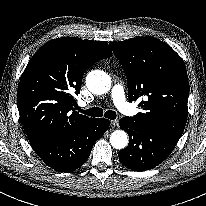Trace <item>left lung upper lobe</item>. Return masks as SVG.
Instances as JSON below:
<instances>
[{
	"label": "left lung upper lobe",
	"instance_id": "obj_1",
	"mask_svg": "<svg viewBox=\"0 0 206 206\" xmlns=\"http://www.w3.org/2000/svg\"><path fill=\"white\" fill-rule=\"evenodd\" d=\"M127 77L128 98H144L135 123L181 136L188 115L189 83L182 58L166 43L132 38L109 44Z\"/></svg>",
	"mask_w": 206,
	"mask_h": 206
}]
</instances>
